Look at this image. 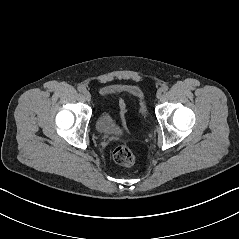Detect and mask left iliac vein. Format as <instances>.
Returning <instances> with one entry per match:
<instances>
[{
	"mask_svg": "<svg viewBox=\"0 0 239 239\" xmlns=\"http://www.w3.org/2000/svg\"><path fill=\"white\" fill-rule=\"evenodd\" d=\"M162 95V91L161 90H158L157 93H156V97L159 99Z\"/></svg>",
	"mask_w": 239,
	"mask_h": 239,
	"instance_id": "4c4485c4",
	"label": "left iliac vein"
}]
</instances>
